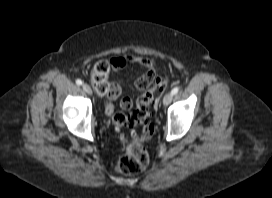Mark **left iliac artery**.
Segmentation results:
<instances>
[{"instance_id": "44dca946", "label": "left iliac artery", "mask_w": 272, "mask_h": 198, "mask_svg": "<svg viewBox=\"0 0 272 198\" xmlns=\"http://www.w3.org/2000/svg\"><path fill=\"white\" fill-rule=\"evenodd\" d=\"M178 91H179V88H178V87H175V88L172 89L171 93H172L173 95H175V94L178 93Z\"/></svg>"}]
</instances>
